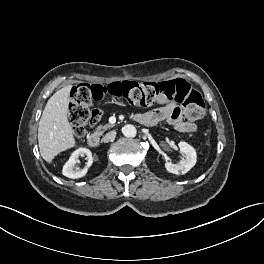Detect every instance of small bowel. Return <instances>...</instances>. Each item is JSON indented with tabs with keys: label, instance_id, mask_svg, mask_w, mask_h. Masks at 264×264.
<instances>
[{
	"label": "small bowel",
	"instance_id": "c3829d8e",
	"mask_svg": "<svg viewBox=\"0 0 264 264\" xmlns=\"http://www.w3.org/2000/svg\"><path fill=\"white\" fill-rule=\"evenodd\" d=\"M135 119L138 122L144 121L150 124V126L161 121H166L177 131L183 133H193L197 129L194 122L183 118L180 107L173 102L164 103L159 108L150 110L144 114L136 115Z\"/></svg>",
	"mask_w": 264,
	"mask_h": 264
}]
</instances>
